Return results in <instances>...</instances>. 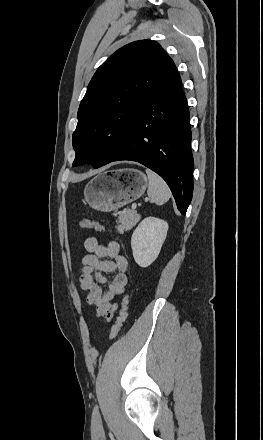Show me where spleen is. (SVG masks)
Segmentation results:
<instances>
[{
    "instance_id": "spleen-1",
    "label": "spleen",
    "mask_w": 263,
    "mask_h": 440,
    "mask_svg": "<svg viewBox=\"0 0 263 440\" xmlns=\"http://www.w3.org/2000/svg\"><path fill=\"white\" fill-rule=\"evenodd\" d=\"M149 185L147 194L151 203L162 205L171 197V191L166 182L155 172L146 169Z\"/></svg>"
}]
</instances>
